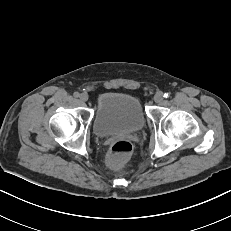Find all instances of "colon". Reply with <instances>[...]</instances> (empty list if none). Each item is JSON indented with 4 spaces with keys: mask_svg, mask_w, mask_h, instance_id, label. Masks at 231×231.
<instances>
[{
    "mask_svg": "<svg viewBox=\"0 0 231 231\" xmlns=\"http://www.w3.org/2000/svg\"><path fill=\"white\" fill-rule=\"evenodd\" d=\"M133 144L126 139L117 140L112 144L108 153V162L113 167H121L130 157Z\"/></svg>",
    "mask_w": 231,
    "mask_h": 231,
    "instance_id": "colon-1",
    "label": "colon"
}]
</instances>
